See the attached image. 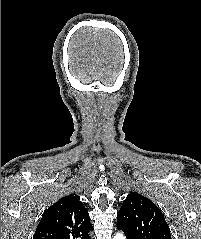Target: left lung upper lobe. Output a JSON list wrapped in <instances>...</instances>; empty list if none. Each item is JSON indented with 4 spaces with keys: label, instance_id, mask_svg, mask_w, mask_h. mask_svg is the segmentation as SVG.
<instances>
[{
    "label": "left lung upper lobe",
    "instance_id": "1",
    "mask_svg": "<svg viewBox=\"0 0 201 239\" xmlns=\"http://www.w3.org/2000/svg\"><path fill=\"white\" fill-rule=\"evenodd\" d=\"M117 227L134 239H171L161 210L136 192L123 201L117 214Z\"/></svg>",
    "mask_w": 201,
    "mask_h": 239
}]
</instances>
